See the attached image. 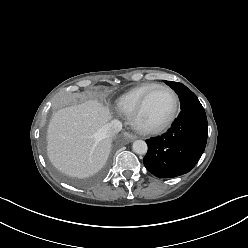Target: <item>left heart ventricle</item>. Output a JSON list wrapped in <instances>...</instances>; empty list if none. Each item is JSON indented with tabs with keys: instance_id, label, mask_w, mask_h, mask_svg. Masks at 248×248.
Returning <instances> with one entry per match:
<instances>
[{
	"instance_id": "left-heart-ventricle-1",
	"label": "left heart ventricle",
	"mask_w": 248,
	"mask_h": 248,
	"mask_svg": "<svg viewBox=\"0 0 248 248\" xmlns=\"http://www.w3.org/2000/svg\"><path fill=\"white\" fill-rule=\"evenodd\" d=\"M173 107V98L165 89H155L149 95L140 116V123L155 126L163 122Z\"/></svg>"
}]
</instances>
